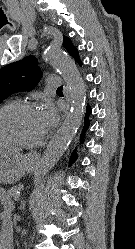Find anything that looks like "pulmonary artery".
Here are the masks:
<instances>
[{
    "label": "pulmonary artery",
    "mask_w": 135,
    "mask_h": 249,
    "mask_svg": "<svg viewBox=\"0 0 135 249\" xmlns=\"http://www.w3.org/2000/svg\"><path fill=\"white\" fill-rule=\"evenodd\" d=\"M47 85L52 88L59 87L60 86L59 76H49L47 78Z\"/></svg>",
    "instance_id": "1"
}]
</instances>
